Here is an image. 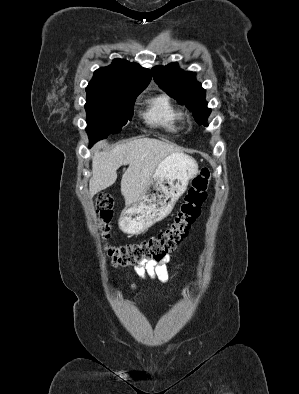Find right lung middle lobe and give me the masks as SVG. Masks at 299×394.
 <instances>
[{
	"label": "right lung middle lobe",
	"instance_id": "1",
	"mask_svg": "<svg viewBox=\"0 0 299 394\" xmlns=\"http://www.w3.org/2000/svg\"><path fill=\"white\" fill-rule=\"evenodd\" d=\"M139 94L140 92L124 90L87 93L86 132L91 145L109 134L121 131L133 116L134 101Z\"/></svg>",
	"mask_w": 299,
	"mask_h": 394
}]
</instances>
